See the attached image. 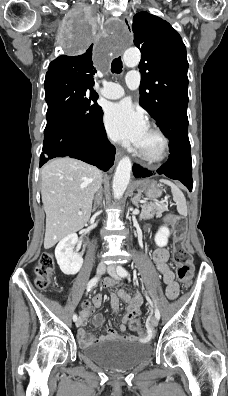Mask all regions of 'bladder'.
<instances>
[{
	"label": "bladder",
	"instance_id": "31cf9c89",
	"mask_svg": "<svg viewBox=\"0 0 228 396\" xmlns=\"http://www.w3.org/2000/svg\"><path fill=\"white\" fill-rule=\"evenodd\" d=\"M82 354L105 369L128 370L148 361L152 347L135 340L115 338L89 345Z\"/></svg>",
	"mask_w": 228,
	"mask_h": 396
}]
</instances>
